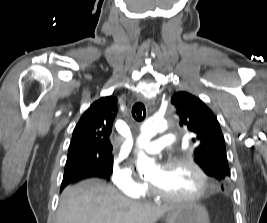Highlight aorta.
I'll use <instances>...</instances> for the list:
<instances>
[{"mask_svg":"<svg viewBox=\"0 0 267 223\" xmlns=\"http://www.w3.org/2000/svg\"><path fill=\"white\" fill-rule=\"evenodd\" d=\"M167 128V122L165 120H147L141 127V134L138 138V144L140 148H144L148 145L152 137L158 132L164 131ZM137 169L140 174L149 175L156 171L157 167L153 160L146 156L142 151L138 154Z\"/></svg>","mask_w":267,"mask_h":223,"instance_id":"762f6f07","label":"aorta"}]
</instances>
